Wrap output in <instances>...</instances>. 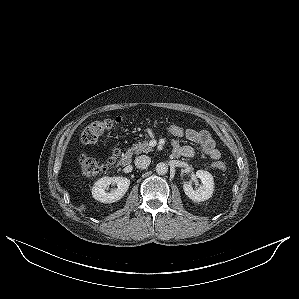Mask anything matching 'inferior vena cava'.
<instances>
[{"instance_id":"obj_1","label":"inferior vena cava","mask_w":299,"mask_h":299,"mask_svg":"<svg viewBox=\"0 0 299 299\" xmlns=\"http://www.w3.org/2000/svg\"><path fill=\"white\" fill-rule=\"evenodd\" d=\"M134 162H135V166L137 168L146 169L151 163V158L146 155H141V156H138Z\"/></svg>"}]
</instances>
